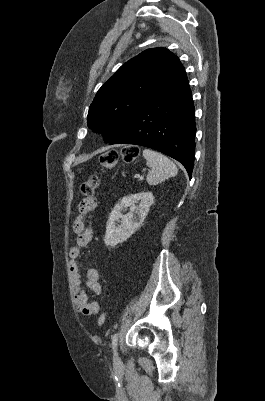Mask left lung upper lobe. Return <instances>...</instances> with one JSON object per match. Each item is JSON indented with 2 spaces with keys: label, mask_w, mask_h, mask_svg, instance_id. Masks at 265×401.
Wrapping results in <instances>:
<instances>
[{
  "label": "left lung upper lobe",
  "mask_w": 265,
  "mask_h": 401,
  "mask_svg": "<svg viewBox=\"0 0 265 401\" xmlns=\"http://www.w3.org/2000/svg\"><path fill=\"white\" fill-rule=\"evenodd\" d=\"M176 55L165 48L147 49L124 63L98 90L89 107L87 122L105 133L110 142L152 100L162 94L183 72Z\"/></svg>",
  "instance_id": "5c2ea615"
}]
</instances>
